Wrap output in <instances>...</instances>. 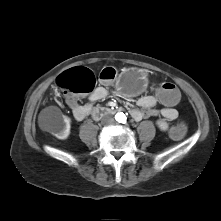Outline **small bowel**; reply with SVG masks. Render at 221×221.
<instances>
[{
    "label": "small bowel",
    "mask_w": 221,
    "mask_h": 221,
    "mask_svg": "<svg viewBox=\"0 0 221 221\" xmlns=\"http://www.w3.org/2000/svg\"><path fill=\"white\" fill-rule=\"evenodd\" d=\"M108 95V89L104 86H99L94 89L88 96L89 103L80 104L76 97H67V103L71 108L75 119L83 120L92 114L95 109L94 103L104 99ZM160 102L150 95H144L137 99L138 108L130 109L131 117L140 121L144 118L160 116L167 121H173L178 117L176 108L162 107L158 109L157 106Z\"/></svg>",
    "instance_id": "c3829d8e"
}]
</instances>
